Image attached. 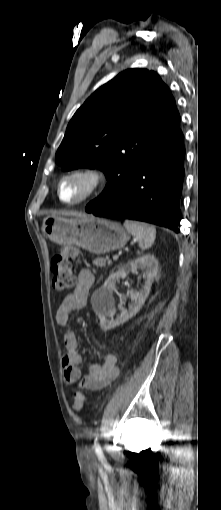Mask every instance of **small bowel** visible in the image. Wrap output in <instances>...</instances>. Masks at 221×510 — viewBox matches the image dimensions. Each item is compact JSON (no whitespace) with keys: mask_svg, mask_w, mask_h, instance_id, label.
I'll return each mask as SVG.
<instances>
[{"mask_svg":"<svg viewBox=\"0 0 221 510\" xmlns=\"http://www.w3.org/2000/svg\"><path fill=\"white\" fill-rule=\"evenodd\" d=\"M91 270L83 268L77 275L72 291L67 294L60 304L56 320L61 326H66L73 311L85 307L90 289L94 283ZM66 353L63 357L64 379L67 383H74L81 377L82 356L78 352L79 340L74 331L66 332L64 336ZM118 375L117 358L113 352H106L101 363H91L88 374L81 380V385L88 390L97 391L113 382Z\"/></svg>","mask_w":221,"mask_h":510,"instance_id":"c3829d8e","label":"small bowel"}]
</instances>
